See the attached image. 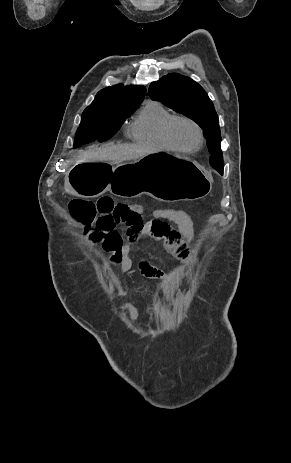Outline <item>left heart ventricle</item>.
<instances>
[{"label": "left heart ventricle", "mask_w": 291, "mask_h": 463, "mask_svg": "<svg viewBox=\"0 0 291 463\" xmlns=\"http://www.w3.org/2000/svg\"><path fill=\"white\" fill-rule=\"evenodd\" d=\"M172 133L175 141L184 148H192L198 142L196 129L187 122H177Z\"/></svg>", "instance_id": "obj_1"}]
</instances>
